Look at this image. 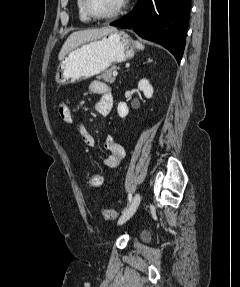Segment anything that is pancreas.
Wrapping results in <instances>:
<instances>
[{
	"instance_id": "obj_1",
	"label": "pancreas",
	"mask_w": 240,
	"mask_h": 287,
	"mask_svg": "<svg viewBox=\"0 0 240 287\" xmlns=\"http://www.w3.org/2000/svg\"><path fill=\"white\" fill-rule=\"evenodd\" d=\"M119 69L117 66H112L108 70H106L103 74H101L99 77L102 78L105 82L113 83L115 81V76L113 73Z\"/></svg>"
}]
</instances>
